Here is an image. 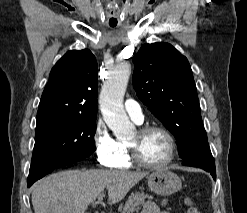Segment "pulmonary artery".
Listing matches in <instances>:
<instances>
[{"label": "pulmonary artery", "mask_w": 247, "mask_h": 213, "mask_svg": "<svg viewBox=\"0 0 247 213\" xmlns=\"http://www.w3.org/2000/svg\"><path fill=\"white\" fill-rule=\"evenodd\" d=\"M124 107L127 114L133 121H135L138 124L143 122L144 115L140 105L136 101L128 99L125 101Z\"/></svg>", "instance_id": "e3ab8cb5"}]
</instances>
